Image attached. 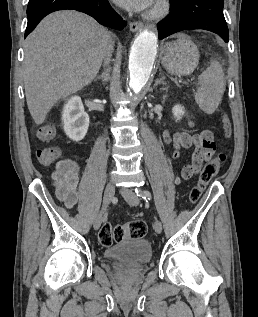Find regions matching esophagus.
Returning a JSON list of instances; mask_svg holds the SVG:
<instances>
[{
  "mask_svg": "<svg viewBox=\"0 0 258 317\" xmlns=\"http://www.w3.org/2000/svg\"><path fill=\"white\" fill-rule=\"evenodd\" d=\"M129 27L131 32H137L138 30L143 28L142 22H130Z\"/></svg>",
  "mask_w": 258,
  "mask_h": 317,
  "instance_id": "obj_1",
  "label": "esophagus"
}]
</instances>
